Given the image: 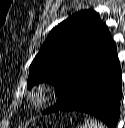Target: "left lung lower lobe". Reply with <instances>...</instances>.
Returning <instances> with one entry per match:
<instances>
[{"label": "left lung lower lobe", "instance_id": "obj_1", "mask_svg": "<svg viewBox=\"0 0 125 128\" xmlns=\"http://www.w3.org/2000/svg\"><path fill=\"white\" fill-rule=\"evenodd\" d=\"M121 84V68L114 45L88 71L70 103L57 111L94 115L108 127L114 128L120 117Z\"/></svg>", "mask_w": 125, "mask_h": 128}]
</instances>
